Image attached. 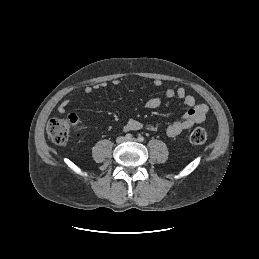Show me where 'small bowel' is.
I'll return each mask as SVG.
<instances>
[{
  "instance_id": "c3829d8e",
  "label": "small bowel",
  "mask_w": 259,
  "mask_h": 259,
  "mask_svg": "<svg viewBox=\"0 0 259 259\" xmlns=\"http://www.w3.org/2000/svg\"><path fill=\"white\" fill-rule=\"evenodd\" d=\"M111 84L114 86H118L120 84V81L118 79H113L111 81ZM153 85L156 88H160L162 87L163 82L159 79H156L154 80ZM106 86H107V82H100L93 86L85 87L83 92L85 94H91L94 90L102 87H106ZM165 96L167 98L177 97L181 99L184 102V104L189 108L188 111L182 117V119L170 124L166 128V134L168 137H171V138L176 137L181 133H183L184 131L192 128L194 125L204 122L206 115L209 111V107L204 103H197L194 96L189 94L185 88L180 87L175 89L173 87H167L165 89ZM68 104H69L68 99L62 101L58 106V111L60 113H65L67 110ZM160 104H161V99L159 97H153L146 102L145 106L148 109H156L160 106ZM143 127H144L143 123L140 122L139 120L130 119L124 126V130L137 131L142 129ZM147 129L151 131H157L158 127L156 125H148Z\"/></svg>"
}]
</instances>
